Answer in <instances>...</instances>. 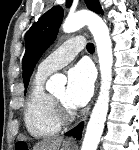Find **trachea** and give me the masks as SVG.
I'll use <instances>...</instances> for the list:
<instances>
[{
	"instance_id": "trachea-1",
	"label": "trachea",
	"mask_w": 139,
	"mask_h": 150,
	"mask_svg": "<svg viewBox=\"0 0 139 150\" xmlns=\"http://www.w3.org/2000/svg\"><path fill=\"white\" fill-rule=\"evenodd\" d=\"M94 50H95L94 44L88 43V44H87V51H88V52H94Z\"/></svg>"
}]
</instances>
